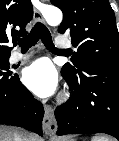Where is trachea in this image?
<instances>
[{"label":"trachea","mask_w":119,"mask_h":141,"mask_svg":"<svg viewBox=\"0 0 119 141\" xmlns=\"http://www.w3.org/2000/svg\"><path fill=\"white\" fill-rule=\"evenodd\" d=\"M41 39L45 47L53 52H66V50L57 49L53 42L48 28L38 22L32 28L31 32L24 38L18 40V44L22 49H29L34 46L37 41Z\"/></svg>","instance_id":"3493384b"}]
</instances>
